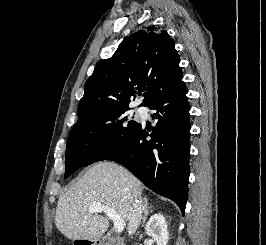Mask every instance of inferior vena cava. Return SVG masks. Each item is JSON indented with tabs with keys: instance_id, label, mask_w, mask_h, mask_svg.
<instances>
[{
	"instance_id": "obj_1",
	"label": "inferior vena cava",
	"mask_w": 266,
	"mask_h": 245,
	"mask_svg": "<svg viewBox=\"0 0 266 245\" xmlns=\"http://www.w3.org/2000/svg\"><path fill=\"white\" fill-rule=\"evenodd\" d=\"M142 201L143 199L140 193H135V195H133L130 211V221L127 227L128 235H134L140 225L143 209Z\"/></svg>"
}]
</instances>
